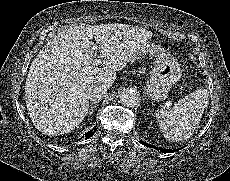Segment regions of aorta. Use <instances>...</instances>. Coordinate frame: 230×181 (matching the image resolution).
<instances>
[{"mask_svg":"<svg viewBox=\"0 0 230 181\" xmlns=\"http://www.w3.org/2000/svg\"><path fill=\"white\" fill-rule=\"evenodd\" d=\"M120 103L126 107H136L140 104V97L135 91L126 89L120 94Z\"/></svg>","mask_w":230,"mask_h":181,"instance_id":"762f6f07","label":"aorta"}]
</instances>
